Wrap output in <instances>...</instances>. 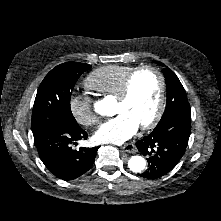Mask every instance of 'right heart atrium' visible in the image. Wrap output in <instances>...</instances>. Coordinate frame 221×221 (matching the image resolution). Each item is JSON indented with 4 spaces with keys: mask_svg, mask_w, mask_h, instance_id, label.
Returning a JSON list of instances; mask_svg holds the SVG:
<instances>
[{
    "mask_svg": "<svg viewBox=\"0 0 221 221\" xmlns=\"http://www.w3.org/2000/svg\"><path fill=\"white\" fill-rule=\"evenodd\" d=\"M68 106L73 118L82 126H94L100 120L93 109L92 100L85 95L72 94L69 97Z\"/></svg>",
    "mask_w": 221,
    "mask_h": 221,
    "instance_id": "right-heart-atrium-1",
    "label": "right heart atrium"
}]
</instances>
